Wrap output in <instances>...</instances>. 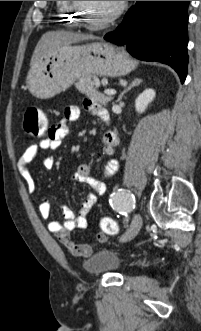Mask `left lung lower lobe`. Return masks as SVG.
<instances>
[{"label":"left lung lower lobe","mask_w":201,"mask_h":331,"mask_svg":"<svg viewBox=\"0 0 201 331\" xmlns=\"http://www.w3.org/2000/svg\"><path fill=\"white\" fill-rule=\"evenodd\" d=\"M190 1H136L118 29L104 36L134 57L170 65L183 83L188 66L187 8Z\"/></svg>","instance_id":"0a47b994"}]
</instances>
